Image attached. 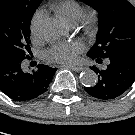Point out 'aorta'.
I'll return each instance as SVG.
<instances>
[{
    "instance_id": "762f6f07",
    "label": "aorta",
    "mask_w": 135,
    "mask_h": 135,
    "mask_svg": "<svg viewBox=\"0 0 135 135\" xmlns=\"http://www.w3.org/2000/svg\"><path fill=\"white\" fill-rule=\"evenodd\" d=\"M40 36L46 41H56L63 34V26L60 20L54 17L42 19L38 25ZM80 81L84 86L93 87L98 81L97 74L91 69H86L80 74Z\"/></svg>"
}]
</instances>
